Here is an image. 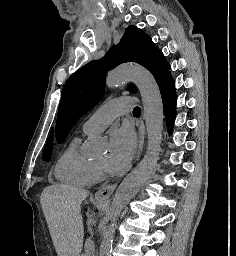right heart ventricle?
Instances as JSON below:
<instances>
[{"instance_id": "obj_1", "label": "right heart ventricle", "mask_w": 236, "mask_h": 256, "mask_svg": "<svg viewBox=\"0 0 236 256\" xmlns=\"http://www.w3.org/2000/svg\"><path fill=\"white\" fill-rule=\"evenodd\" d=\"M78 140H73L60 156L55 167V177L60 183L88 187L92 184L94 163L77 150Z\"/></svg>"}]
</instances>
